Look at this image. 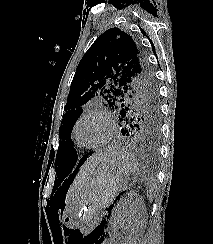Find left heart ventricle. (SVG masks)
Listing matches in <instances>:
<instances>
[{"label":"left heart ventricle","mask_w":213,"mask_h":244,"mask_svg":"<svg viewBox=\"0 0 213 244\" xmlns=\"http://www.w3.org/2000/svg\"><path fill=\"white\" fill-rule=\"evenodd\" d=\"M106 134L107 125L100 117H89L78 128L79 140L87 145H95L101 142Z\"/></svg>","instance_id":"obj_1"}]
</instances>
